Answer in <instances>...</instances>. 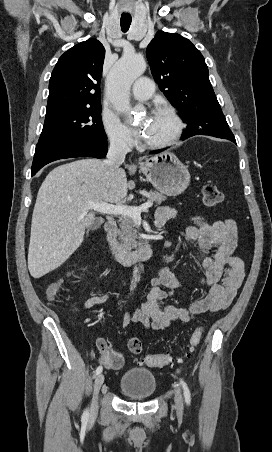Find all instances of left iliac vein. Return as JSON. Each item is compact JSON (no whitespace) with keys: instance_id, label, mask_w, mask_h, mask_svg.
<instances>
[{"instance_id":"1","label":"left iliac vein","mask_w":272,"mask_h":452,"mask_svg":"<svg viewBox=\"0 0 272 452\" xmlns=\"http://www.w3.org/2000/svg\"><path fill=\"white\" fill-rule=\"evenodd\" d=\"M174 400H175V404H176V407H177V411L179 413H182V411H183V398H182V394H181V391H180L178 386L175 387V398H174Z\"/></svg>"}]
</instances>
